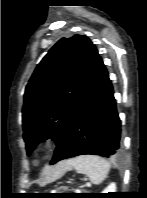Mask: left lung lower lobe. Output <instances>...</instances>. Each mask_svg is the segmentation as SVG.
Segmentation results:
<instances>
[{
    "label": "left lung lower lobe",
    "mask_w": 147,
    "mask_h": 198,
    "mask_svg": "<svg viewBox=\"0 0 147 198\" xmlns=\"http://www.w3.org/2000/svg\"><path fill=\"white\" fill-rule=\"evenodd\" d=\"M121 149V121L113 87L98 57L92 83L57 144L50 164L84 154L114 157Z\"/></svg>",
    "instance_id": "left-lung-lower-lobe-1"
}]
</instances>
